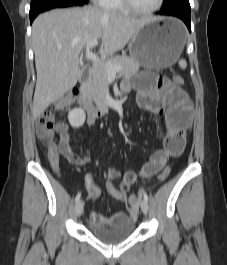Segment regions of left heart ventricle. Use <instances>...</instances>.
Instances as JSON below:
<instances>
[{"label": "left heart ventricle", "instance_id": "b2bd125f", "mask_svg": "<svg viewBox=\"0 0 227 265\" xmlns=\"http://www.w3.org/2000/svg\"><path fill=\"white\" fill-rule=\"evenodd\" d=\"M133 5L141 10H146L154 7L158 0H131Z\"/></svg>", "mask_w": 227, "mask_h": 265}]
</instances>
